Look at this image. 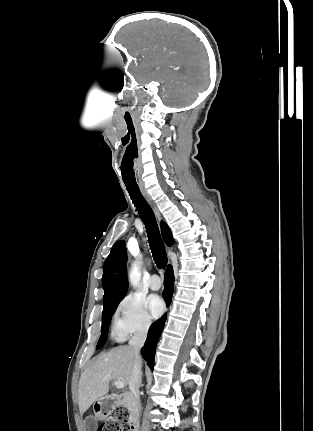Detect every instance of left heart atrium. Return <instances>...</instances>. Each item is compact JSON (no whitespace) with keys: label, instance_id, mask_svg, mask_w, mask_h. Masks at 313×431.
<instances>
[{"label":"left heart atrium","instance_id":"left-heart-atrium-1","mask_svg":"<svg viewBox=\"0 0 313 431\" xmlns=\"http://www.w3.org/2000/svg\"><path fill=\"white\" fill-rule=\"evenodd\" d=\"M149 309L154 317H159L164 311V302L158 296H152L148 300Z\"/></svg>","mask_w":313,"mask_h":431}]
</instances>
